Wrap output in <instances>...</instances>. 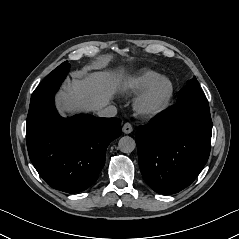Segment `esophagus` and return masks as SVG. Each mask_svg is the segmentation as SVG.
<instances>
[{"instance_id":"obj_1","label":"esophagus","mask_w":239,"mask_h":239,"mask_svg":"<svg viewBox=\"0 0 239 239\" xmlns=\"http://www.w3.org/2000/svg\"><path fill=\"white\" fill-rule=\"evenodd\" d=\"M122 131L125 133V134H129L133 131V127L130 123H125L122 127Z\"/></svg>"}]
</instances>
